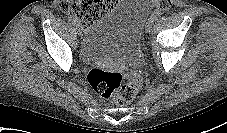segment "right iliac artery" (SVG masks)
I'll return each instance as SVG.
<instances>
[{"label":"right iliac artery","mask_w":227,"mask_h":133,"mask_svg":"<svg viewBox=\"0 0 227 133\" xmlns=\"http://www.w3.org/2000/svg\"><path fill=\"white\" fill-rule=\"evenodd\" d=\"M68 22H69V24H72V25L76 24V20L74 18H72V17L68 18Z\"/></svg>","instance_id":"1"}]
</instances>
